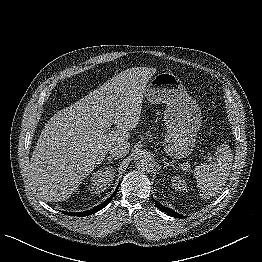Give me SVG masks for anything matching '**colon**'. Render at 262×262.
Listing matches in <instances>:
<instances>
[{
  "instance_id": "colon-1",
  "label": "colon",
  "mask_w": 262,
  "mask_h": 262,
  "mask_svg": "<svg viewBox=\"0 0 262 262\" xmlns=\"http://www.w3.org/2000/svg\"><path fill=\"white\" fill-rule=\"evenodd\" d=\"M206 95H207L206 93H203V94H202V97H205Z\"/></svg>"
}]
</instances>
